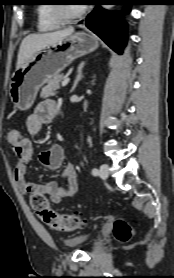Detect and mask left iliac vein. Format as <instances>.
Segmentation results:
<instances>
[{
  "label": "left iliac vein",
  "mask_w": 174,
  "mask_h": 278,
  "mask_svg": "<svg viewBox=\"0 0 174 278\" xmlns=\"http://www.w3.org/2000/svg\"><path fill=\"white\" fill-rule=\"evenodd\" d=\"M109 175V168H108V165L106 164H103L100 166V169H99V176L102 178V179H106Z\"/></svg>",
  "instance_id": "1"
}]
</instances>
